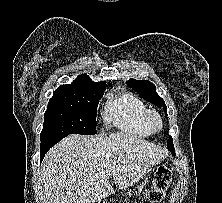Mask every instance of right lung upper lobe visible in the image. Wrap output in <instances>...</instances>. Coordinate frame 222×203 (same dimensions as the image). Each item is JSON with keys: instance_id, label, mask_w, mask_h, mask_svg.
I'll return each instance as SVG.
<instances>
[{"instance_id": "right-lung-upper-lobe-1", "label": "right lung upper lobe", "mask_w": 222, "mask_h": 203, "mask_svg": "<svg viewBox=\"0 0 222 203\" xmlns=\"http://www.w3.org/2000/svg\"><path fill=\"white\" fill-rule=\"evenodd\" d=\"M106 89L105 82H94L86 75L82 74L77 77L71 84L61 85L57 90L67 91H104Z\"/></svg>"}]
</instances>
